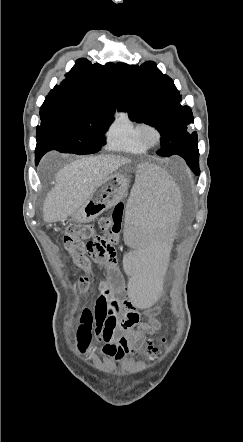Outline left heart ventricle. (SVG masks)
<instances>
[{
  "label": "left heart ventricle",
  "instance_id": "left-heart-ventricle-1",
  "mask_svg": "<svg viewBox=\"0 0 243 442\" xmlns=\"http://www.w3.org/2000/svg\"><path fill=\"white\" fill-rule=\"evenodd\" d=\"M145 136L149 142H154L156 140V133L152 130H148Z\"/></svg>",
  "mask_w": 243,
  "mask_h": 442
}]
</instances>
